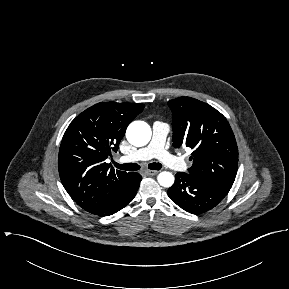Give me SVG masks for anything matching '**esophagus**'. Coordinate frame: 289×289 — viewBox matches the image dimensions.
Here are the masks:
<instances>
[{
    "label": "esophagus",
    "mask_w": 289,
    "mask_h": 289,
    "mask_svg": "<svg viewBox=\"0 0 289 289\" xmlns=\"http://www.w3.org/2000/svg\"><path fill=\"white\" fill-rule=\"evenodd\" d=\"M144 173L148 176H154L156 174L159 173V171H156V170H145Z\"/></svg>",
    "instance_id": "34e87169"
}]
</instances>
